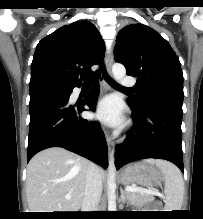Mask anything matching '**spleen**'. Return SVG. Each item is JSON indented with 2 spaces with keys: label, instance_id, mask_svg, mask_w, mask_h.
Instances as JSON below:
<instances>
[{
  "label": "spleen",
  "instance_id": "3e777b00",
  "mask_svg": "<svg viewBox=\"0 0 203 219\" xmlns=\"http://www.w3.org/2000/svg\"><path fill=\"white\" fill-rule=\"evenodd\" d=\"M144 162L157 166L165 177V209L181 210L184 196V182L180 170L172 163L160 159H145Z\"/></svg>",
  "mask_w": 203,
  "mask_h": 219
}]
</instances>
